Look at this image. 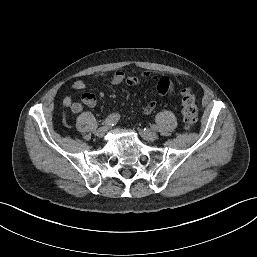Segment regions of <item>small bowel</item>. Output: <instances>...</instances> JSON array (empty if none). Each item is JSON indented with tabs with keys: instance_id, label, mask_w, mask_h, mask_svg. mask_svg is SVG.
I'll return each instance as SVG.
<instances>
[{
	"instance_id": "c3829d8e",
	"label": "small bowel",
	"mask_w": 257,
	"mask_h": 257,
	"mask_svg": "<svg viewBox=\"0 0 257 257\" xmlns=\"http://www.w3.org/2000/svg\"><path fill=\"white\" fill-rule=\"evenodd\" d=\"M106 72L96 73L89 78L97 79L106 76ZM143 80H150L156 84L157 91L160 95L168 94L172 96L174 94L173 82L164 73L159 72H145L141 75H129L123 71L117 70L111 74L110 81L112 84L118 85L125 82L128 86H135L142 82ZM180 84V81H176ZM74 90L80 91L86 87V80L84 78L77 79L73 85ZM63 104L69 107L74 113H80L85 106L95 107L97 105L96 96L93 93L87 92L82 95L81 101L74 102L71 97L66 96L63 99ZM156 107V102L152 101L148 103L144 108L145 114H150L154 111Z\"/></svg>"
}]
</instances>
